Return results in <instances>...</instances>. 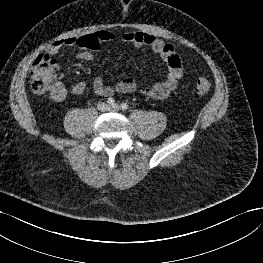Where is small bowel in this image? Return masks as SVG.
Returning a JSON list of instances; mask_svg holds the SVG:
<instances>
[{
    "mask_svg": "<svg viewBox=\"0 0 263 263\" xmlns=\"http://www.w3.org/2000/svg\"><path fill=\"white\" fill-rule=\"evenodd\" d=\"M115 35L107 30H99L92 34L81 36H72L53 42L48 51L57 55L65 47H77L81 49L78 54L79 59L92 62V51L97 50L101 44L115 40ZM120 39L128 44L136 47H148L157 54L166 64L167 73L163 80L153 84L152 86L141 89V93L154 100L166 99L177 87L179 81L183 77V66L181 59L176 52L175 47L160 38L145 33L143 31L126 32L121 35ZM87 88L84 81L77 82L71 89V94L82 95ZM137 89V84L132 78H125L119 81L115 88L107 85L102 77H95L93 80L94 92L103 97L111 96L115 91L119 93H132ZM51 96L55 101H62L67 96L66 88L57 83L51 91Z\"/></svg>",
    "mask_w": 263,
    "mask_h": 263,
    "instance_id": "small-bowel-1",
    "label": "small bowel"
}]
</instances>
